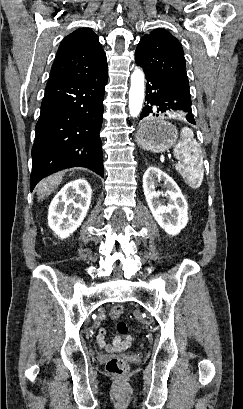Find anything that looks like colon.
Here are the masks:
<instances>
[{
	"instance_id": "1",
	"label": "colon",
	"mask_w": 243,
	"mask_h": 409,
	"mask_svg": "<svg viewBox=\"0 0 243 409\" xmlns=\"http://www.w3.org/2000/svg\"><path fill=\"white\" fill-rule=\"evenodd\" d=\"M124 309L122 306H115L111 310V318L118 319L123 314ZM116 328L119 333L125 335L128 332L127 324L124 321H118ZM128 369L127 363L121 358H112L106 363L107 372L113 377H122Z\"/></svg>"
}]
</instances>
